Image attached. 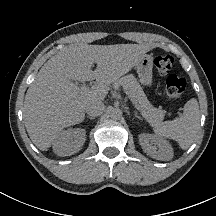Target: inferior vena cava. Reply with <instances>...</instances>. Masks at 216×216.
<instances>
[{
  "mask_svg": "<svg viewBox=\"0 0 216 216\" xmlns=\"http://www.w3.org/2000/svg\"><path fill=\"white\" fill-rule=\"evenodd\" d=\"M105 110L104 103L102 101H91L87 104L85 111L90 117H97Z\"/></svg>",
  "mask_w": 216,
  "mask_h": 216,
  "instance_id": "inferior-vena-cava-1",
  "label": "inferior vena cava"
}]
</instances>
